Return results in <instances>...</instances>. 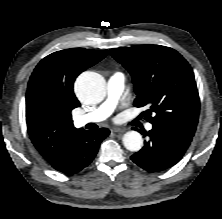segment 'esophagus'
<instances>
[{
    "label": "esophagus",
    "mask_w": 222,
    "mask_h": 219,
    "mask_svg": "<svg viewBox=\"0 0 222 219\" xmlns=\"http://www.w3.org/2000/svg\"><path fill=\"white\" fill-rule=\"evenodd\" d=\"M120 132H124V130L121 129V128H113V129H112V133L117 134V133H120Z\"/></svg>",
    "instance_id": "34e87169"
}]
</instances>
